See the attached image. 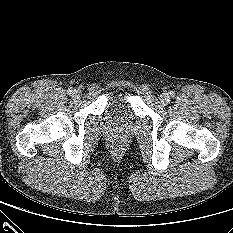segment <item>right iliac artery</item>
I'll return each instance as SVG.
<instances>
[{"mask_svg": "<svg viewBox=\"0 0 233 233\" xmlns=\"http://www.w3.org/2000/svg\"><path fill=\"white\" fill-rule=\"evenodd\" d=\"M67 93H68L69 95H72L73 90H72V89H69V90L67 91Z\"/></svg>", "mask_w": 233, "mask_h": 233, "instance_id": "1", "label": "right iliac artery"}]
</instances>
